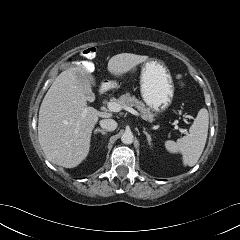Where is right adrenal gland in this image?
Masks as SVG:
<instances>
[{
  "label": "right adrenal gland",
  "mask_w": 240,
  "mask_h": 240,
  "mask_svg": "<svg viewBox=\"0 0 240 240\" xmlns=\"http://www.w3.org/2000/svg\"><path fill=\"white\" fill-rule=\"evenodd\" d=\"M101 133L102 135H105L107 132L105 131V130H103V129H100V128H97V129H95V131H94V133L96 134V133Z\"/></svg>",
  "instance_id": "right-adrenal-gland-1"
}]
</instances>
